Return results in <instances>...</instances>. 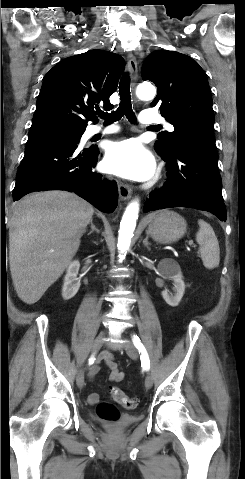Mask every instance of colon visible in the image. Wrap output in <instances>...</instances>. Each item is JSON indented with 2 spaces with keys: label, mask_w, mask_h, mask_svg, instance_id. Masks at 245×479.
<instances>
[{
  "label": "colon",
  "mask_w": 245,
  "mask_h": 479,
  "mask_svg": "<svg viewBox=\"0 0 245 479\" xmlns=\"http://www.w3.org/2000/svg\"><path fill=\"white\" fill-rule=\"evenodd\" d=\"M111 399L125 409H132L136 406L137 400L129 397L118 387L109 389ZM97 415L101 419L115 421L119 418L118 410L110 403L102 402L97 407Z\"/></svg>",
  "instance_id": "1"
}]
</instances>
